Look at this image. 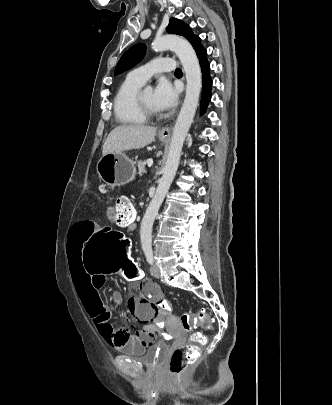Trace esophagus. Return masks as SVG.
<instances>
[{"instance_id": "obj_1", "label": "esophagus", "mask_w": 332, "mask_h": 405, "mask_svg": "<svg viewBox=\"0 0 332 405\" xmlns=\"http://www.w3.org/2000/svg\"><path fill=\"white\" fill-rule=\"evenodd\" d=\"M170 132H171V127L170 126H165V127H162L159 130V135L164 136V137H168L170 135Z\"/></svg>"}]
</instances>
